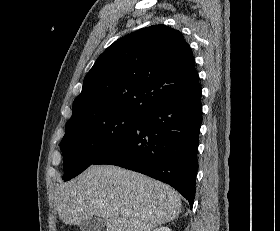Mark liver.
Returning a JSON list of instances; mask_svg holds the SVG:
<instances>
[{"instance_id":"6515ba94","label":"liver","mask_w":280,"mask_h":231,"mask_svg":"<svg viewBox=\"0 0 280 231\" xmlns=\"http://www.w3.org/2000/svg\"><path fill=\"white\" fill-rule=\"evenodd\" d=\"M55 205L69 225L98 215L106 231H151L176 219L182 203L178 191L158 179L117 165H90L60 185Z\"/></svg>"}]
</instances>
